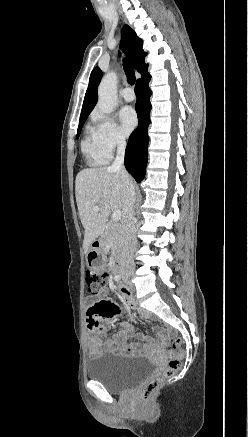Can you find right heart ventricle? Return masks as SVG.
<instances>
[{
	"label": "right heart ventricle",
	"mask_w": 248,
	"mask_h": 437,
	"mask_svg": "<svg viewBox=\"0 0 248 437\" xmlns=\"http://www.w3.org/2000/svg\"><path fill=\"white\" fill-rule=\"evenodd\" d=\"M82 152L86 161L91 166H100L108 161V157L102 152L95 136L94 127L87 125L85 135L81 143Z\"/></svg>",
	"instance_id": "obj_1"
}]
</instances>
